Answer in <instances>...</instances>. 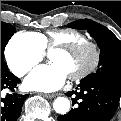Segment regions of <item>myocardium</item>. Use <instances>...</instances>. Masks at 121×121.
I'll return each mask as SVG.
<instances>
[{"label":"myocardium","instance_id":"1","mask_svg":"<svg viewBox=\"0 0 121 121\" xmlns=\"http://www.w3.org/2000/svg\"><path fill=\"white\" fill-rule=\"evenodd\" d=\"M52 51H61L69 55L83 53L85 51L92 52V61L81 71L68 77L72 82L81 81L94 73L99 67L102 57V50L99 44L91 41H81L70 45H58Z\"/></svg>","mask_w":121,"mask_h":121}]
</instances>
